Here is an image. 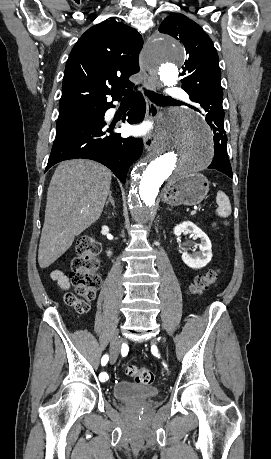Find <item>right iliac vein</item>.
<instances>
[{
	"label": "right iliac vein",
	"mask_w": 271,
	"mask_h": 459,
	"mask_svg": "<svg viewBox=\"0 0 271 459\" xmlns=\"http://www.w3.org/2000/svg\"><path fill=\"white\" fill-rule=\"evenodd\" d=\"M120 352V342L117 336L113 337L110 342V355H111V364H114L118 359Z\"/></svg>",
	"instance_id": "right-iliac-vein-1"
}]
</instances>
